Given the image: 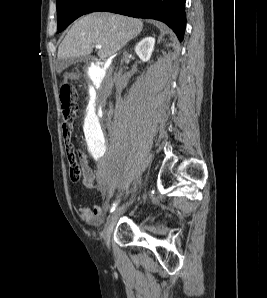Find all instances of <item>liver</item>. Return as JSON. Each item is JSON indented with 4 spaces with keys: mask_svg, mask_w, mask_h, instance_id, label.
I'll return each mask as SVG.
<instances>
[{
    "mask_svg": "<svg viewBox=\"0 0 267 298\" xmlns=\"http://www.w3.org/2000/svg\"><path fill=\"white\" fill-rule=\"evenodd\" d=\"M142 29L143 22L139 19L107 12L88 14L71 27L58 48V59L87 56L94 45L102 46L97 52L101 59L110 57Z\"/></svg>",
    "mask_w": 267,
    "mask_h": 298,
    "instance_id": "obj_1",
    "label": "liver"
}]
</instances>
